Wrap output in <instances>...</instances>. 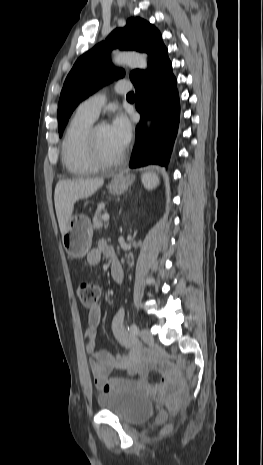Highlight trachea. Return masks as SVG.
Returning <instances> with one entry per match:
<instances>
[{
  "label": "trachea",
  "mask_w": 263,
  "mask_h": 465,
  "mask_svg": "<svg viewBox=\"0 0 263 465\" xmlns=\"http://www.w3.org/2000/svg\"><path fill=\"white\" fill-rule=\"evenodd\" d=\"M127 97H134V93L133 92L128 93Z\"/></svg>",
  "instance_id": "trachea-1"
}]
</instances>
